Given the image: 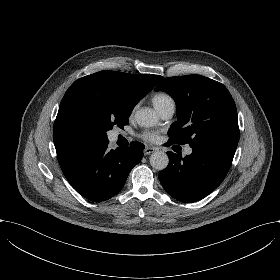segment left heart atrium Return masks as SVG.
Segmentation results:
<instances>
[{
	"label": "left heart atrium",
	"mask_w": 280,
	"mask_h": 280,
	"mask_svg": "<svg viewBox=\"0 0 280 280\" xmlns=\"http://www.w3.org/2000/svg\"><path fill=\"white\" fill-rule=\"evenodd\" d=\"M141 138L146 141H155L157 139V135L153 132L146 131L141 134Z\"/></svg>",
	"instance_id": "1"
}]
</instances>
